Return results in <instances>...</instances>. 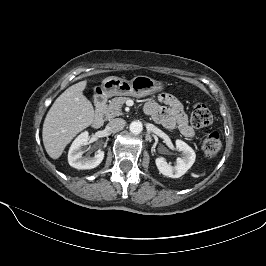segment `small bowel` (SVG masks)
<instances>
[{
	"instance_id": "small-bowel-1",
	"label": "small bowel",
	"mask_w": 266,
	"mask_h": 266,
	"mask_svg": "<svg viewBox=\"0 0 266 266\" xmlns=\"http://www.w3.org/2000/svg\"><path fill=\"white\" fill-rule=\"evenodd\" d=\"M144 110L156 122L169 129H178L185 137L192 138L195 135L194 129L189 125L182 103L171 94L158 95L157 101L147 102Z\"/></svg>"
}]
</instances>
